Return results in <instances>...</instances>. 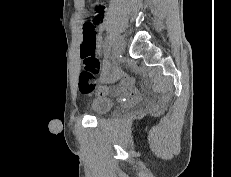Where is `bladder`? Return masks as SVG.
Instances as JSON below:
<instances>
[{"mask_svg": "<svg viewBox=\"0 0 231 177\" xmlns=\"http://www.w3.org/2000/svg\"><path fill=\"white\" fill-rule=\"evenodd\" d=\"M112 106V99L105 96H97L90 101V108L95 116H102L106 114Z\"/></svg>", "mask_w": 231, "mask_h": 177, "instance_id": "1", "label": "bladder"}]
</instances>
